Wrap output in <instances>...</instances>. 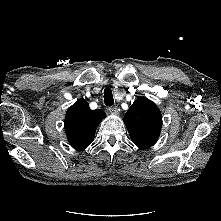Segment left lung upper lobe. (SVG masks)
I'll return each mask as SVG.
<instances>
[{"label":"left lung upper lobe","instance_id":"left-lung-upper-lobe-1","mask_svg":"<svg viewBox=\"0 0 221 221\" xmlns=\"http://www.w3.org/2000/svg\"><path fill=\"white\" fill-rule=\"evenodd\" d=\"M132 142L140 149L154 145L160 135L162 116L154 102L137 98L124 116Z\"/></svg>","mask_w":221,"mask_h":221}]
</instances>
